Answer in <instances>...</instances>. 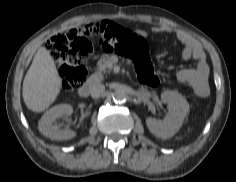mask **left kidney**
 <instances>
[{"label":"left kidney","mask_w":236,"mask_h":182,"mask_svg":"<svg viewBox=\"0 0 236 182\" xmlns=\"http://www.w3.org/2000/svg\"><path fill=\"white\" fill-rule=\"evenodd\" d=\"M161 99L168 107V115L164 120L152 117L146 119L149 131L158 138L168 139L180 129L189 111V103L178 92L166 90L161 94Z\"/></svg>","instance_id":"5707ae66"}]
</instances>
